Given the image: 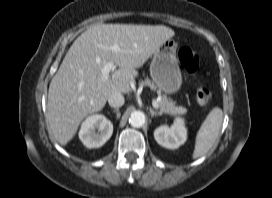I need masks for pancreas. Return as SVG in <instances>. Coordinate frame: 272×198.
<instances>
[{
    "mask_svg": "<svg viewBox=\"0 0 272 198\" xmlns=\"http://www.w3.org/2000/svg\"><path fill=\"white\" fill-rule=\"evenodd\" d=\"M140 84L149 86L150 88L154 89L155 86L151 83V81L147 78L144 81H141ZM158 105L160 107V111L162 113H166L169 115H183L187 113V109L183 106H177L176 102L169 99L166 95H163L158 102Z\"/></svg>",
    "mask_w": 272,
    "mask_h": 198,
    "instance_id": "1",
    "label": "pancreas"
}]
</instances>
